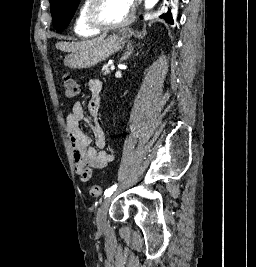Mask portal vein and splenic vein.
Masks as SVG:
<instances>
[{
    "instance_id": "18ae733b",
    "label": "portal vein and splenic vein",
    "mask_w": 256,
    "mask_h": 267,
    "mask_svg": "<svg viewBox=\"0 0 256 267\" xmlns=\"http://www.w3.org/2000/svg\"><path fill=\"white\" fill-rule=\"evenodd\" d=\"M108 68H111V70H115V64L111 63L110 65H108Z\"/></svg>"
}]
</instances>
